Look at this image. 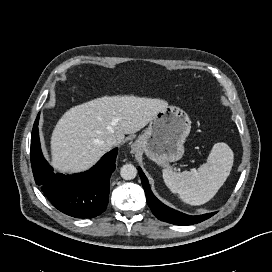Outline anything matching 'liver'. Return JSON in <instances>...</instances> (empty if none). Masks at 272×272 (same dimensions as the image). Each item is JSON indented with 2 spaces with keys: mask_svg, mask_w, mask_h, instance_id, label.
<instances>
[{
  "mask_svg": "<svg viewBox=\"0 0 272 272\" xmlns=\"http://www.w3.org/2000/svg\"><path fill=\"white\" fill-rule=\"evenodd\" d=\"M168 106L160 99L103 96L74 106L58 120L51 136V165L60 172L76 173L92 167L108 150L106 139L144 128Z\"/></svg>",
  "mask_w": 272,
  "mask_h": 272,
  "instance_id": "1",
  "label": "liver"
}]
</instances>
